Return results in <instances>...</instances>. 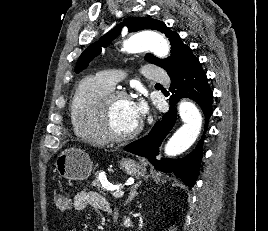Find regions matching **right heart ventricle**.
<instances>
[{
	"label": "right heart ventricle",
	"instance_id": "obj_1",
	"mask_svg": "<svg viewBox=\"0 0 268 231\" xmlns=\"http://www.w3.org/2000/svg\"><path fill=\"white\" fill-rule=\"evenodd\" d=\"M111 89V86L98 77H86L80 82L69 104L75 135L99 145L109 142L100 129L98 113L100 100Z\"/></svg>",
	"mask_w": 268,
	"mask_h": 231
}]
</instances>
